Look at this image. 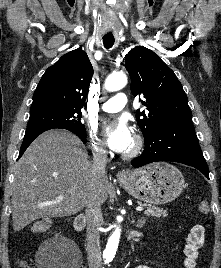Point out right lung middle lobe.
<instances>
[{
    "mask_svg": "<svg viewBox=\"0 0 221 268\" xmlns=\"http://www.w3.org/2000/svg\"><path fill=\"white\" fill-rule=\"evenodd\" d=\"M81 111H49L30 114L27 129L36 127L63 128L85 133V126L81 123Z\"/></svg>",
    "mask_w": 221,
    "mask_h": 268,
    "instance_id": "dd1d6c3e",
    "label": "right lung middle lobe"
}]
</instances>
